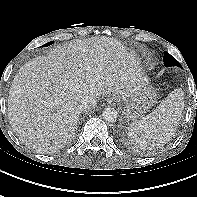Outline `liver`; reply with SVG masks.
<instances>
[{"label": "liver", "instance_id": "6515ba94", "mask_svg": "<svg viewBox=\"0 0 197 197\" xmlns=\"http://www.w3.org/2000/svg\"><path fill=\"white\" fill-rule=\"evenodd\" d=\"M145 83L135 54L120 41L74 40L21 66L9 91V122L21 143L54 153L73 136L82 98H126Z\"/></svg>", "mask_w": 197, "mask_h": 197}]
</instances>
